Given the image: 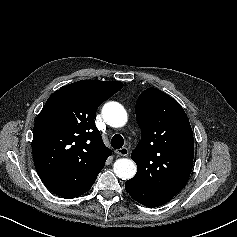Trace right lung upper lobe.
Segmentation results:
<instances>
[{"mask_svg":"<svg viewBox=\"0 0 237 237\" xmlns=\"http://www.w3.org/2000/svg\"><path fill=\"white\" fill-rule=\"evenodd\" d=\"M123 87L83 80L55 91L34 124L32 152L43 183L58 196L77 197L94 184L111 155L94 118L99 105Z\"/></svg>","mask_w":237,"mask_h":237,"instance_id":"right-lung-upper-lobe-1","label":"right lung upper lobe"}]
</instances>
